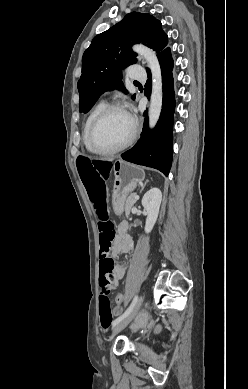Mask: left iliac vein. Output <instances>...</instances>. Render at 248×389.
<instances>
[{
	"instance_id": "4c4485c4",
	"label": "left iliac vein",
	"mask_w": 248,
	"mask_h": 389,
	"mask_svg": "<svg viewBox=\"0 0 248 389\" xmlns=\"http://www.w3.org/2000/svg\"><path fill=\"white\" fill-rule=\"evenodd\" d=\"M143 302V296L141 295L137 303L133 307L130 314L125 317L120 323H118L111 332L110 340H112L121 330H123L138 314Z\"/></svg>"
}]
</instances>
